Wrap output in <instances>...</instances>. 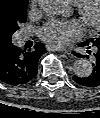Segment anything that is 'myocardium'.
Returning <instances> with one entry per match:
<instances>
[{
    "mask_svg": "<svg viewBox=\"0 0 100 118\" xmlns=\"http://www.w3.org/2000/svg\"><path fill=\"white\" fill-rule=\"evenodd\" d=\"M75 6V13L84 28L93 31L100 24V0H80Z\"/></svg>",
    "mask_w": 100,
    "mask_h": 118,
    "instance_id": "myocardium-1",
    "label": "myocardium"
}]
</instances>
